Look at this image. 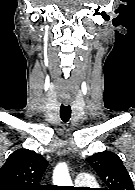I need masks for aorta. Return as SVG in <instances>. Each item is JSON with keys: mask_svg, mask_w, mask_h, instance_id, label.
<instances>
[{"mask_svg": "<svg viewBox=\"0 0 135 190\" xmlns=\"http://www.w3.org/2000/svg\"><path fill=\"white\" fill-rule=\"evenodd\" d=\"M54 181L61 186H71L72 182L65 164H59L55 169Z\"/></svg>", "mask_w": 135, "mask_h": 190, "instance_id": "1", "label": "aorta"}]
</instances>
